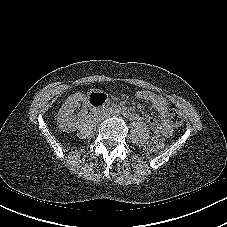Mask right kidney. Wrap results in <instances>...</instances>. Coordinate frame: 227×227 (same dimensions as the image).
<instances>
[{
  "mask_svg": "<svg viewBox=\"0 0 227 227\" xmlns=\"http://www.w3.org/2000/svg\"><path fill=\"white\" fill-rule=\"evenodd\" d=\"M84 99L83 94H75L69 97L66 102L62 105L60 109L58 122L60 126L64 129L75 128L77 125L74 111L75 107H77L78 102Z\"/></svg>",
  "mask_w": 227,
  "mask_h": 227,
  "instance_id": "obj_1",
  "label": "right kidney"
}]
</instances>
